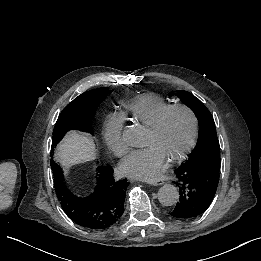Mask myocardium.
<instances>
[{"mask_svg":"<svg viewBox=\"0 0 261 261\" xmlns=\"http://www.w3.org/2000/svg\"><path fill=\"white\" fill-rule=\"evenodd\" d=\"M173 110L184 111L190 116V119L192 122V130H191V134H190V137H189L186 145L183 147V149L181 151L170 156L168 158L169 162H174V161L180 160L188 154V152L196 144L198 136H199V130H200L199 118H198L197 113L190 106H188L186 104H182V103L170 104L167 107H165L164 109H162L160 112H158L156 114V116L152 120L147 122L148 127H150L151 129H156L160 125L164 116Z\"/></svg>","mask_w":261,"mask_h":261,"instance_id":"myocardium-1","label":"myocardium"}]
</instances>
